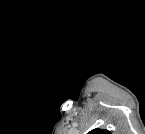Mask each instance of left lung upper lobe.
I'll use <instances>...</instances> for the list:
<instances>
[{
	"instance_id": "5c2ea615",
	"label": "left lung upper lobe",
	"mask_w": 145,
	"mask_h": 134,
	"mask_svg": "<svg viewBox=\"0 0 145 134\" xmlns=\"http://www.w3.org/2000/svg\"><path fill=\"white\" fill-rule=\"evenodd\" d=\"M88 134H110V132L107 130L94 129L90 131Z\"/></svg>"
}]
</instances>
